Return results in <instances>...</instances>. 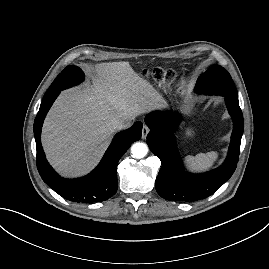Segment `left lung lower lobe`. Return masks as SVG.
Returning a JSON list of instances; mask_svg holds the SVG:
<instances>
[{
    "mask_svg": "<svg viewBox=\"0 0 269 269\" xmlns=\"http://www.w3.org/2000/svg\"><path fill=\"white\" fill-rule=\"evenodd\" d=\"M225 101L233 120V132L227 158L219 168L198 175L185 172L182 166L173 134L180 120L178 114L154 112L146 116L145 123L151 130L146 142L150 150L161 160L155 187L164 199L198 201L207 198L234 173L240 153L244 121L238 99L225 96Z\"/></svg>",
    "mask_w": 269,
    "mask_h": 269,
    "instance_id": "0a47b994",
    "label": "left lung lower lobe"
}]
</instances>
